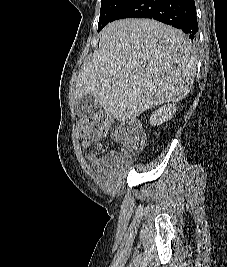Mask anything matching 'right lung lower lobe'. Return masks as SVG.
I'll return each instance as SVG.
<instances>
[{
	"instance_id": "right-lung-lower-lobe-1",
	"label": "right lung lower lobe",
	"mask_w": 227,
	"mask_h": 267,
	"mask_svg": "<svg viewBox=\"0 0 227 267\" xmlns=\"http://www.w3.org/2000/svg\"><path fill=\"white\" fill-rule=\"evenodd\" d=\"M151 18L179 28L193 39L198 31L194 0H127L113 19Z\"/></svg>"
}]
</instances>
